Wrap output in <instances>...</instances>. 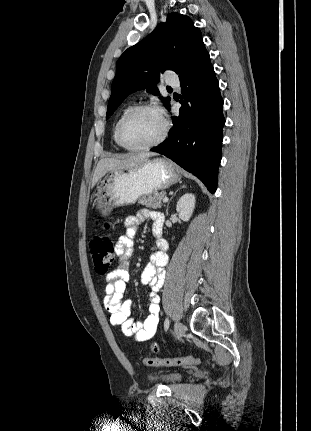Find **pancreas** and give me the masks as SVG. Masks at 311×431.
<instances>
[{"mask_svg": "<svg viewBox=\"0 0 311 431\" xmlns=\"http://www.w3.org/2000/svg\"><path fill=\"white\" fill-rule=\"evenodd\" d=\"M167 192H158V194H151V196H142L139 198V206H145L149 210H157V208H162L161 200L165 198Z\"/></svg>", "mask_w": 311, "mask_h": 431, "instance_id": "cf45deb5", "label": "pancreas"}]
</instances>
